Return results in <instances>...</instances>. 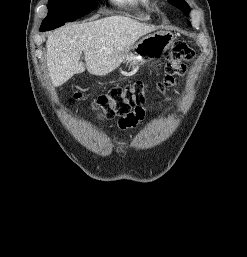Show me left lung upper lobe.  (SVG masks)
<instances>
[{
  "instance_id": "5c2ea615",
  "label": "left lung upper lobe",
  "mask_w": 247,
  "mask_h": 257,
  "mask_svg": "<svg viewBox=\"0 0 247 257\" xmlns=\"http://www.w3.org/2000/svg\"><path fill=\"white\" fill-rule=\"evenodd\" d=\"M169 1L170 3L178 7L180 10H182L186 15L189 14L190 7L184 0H169ZM188 24L191 26L190 22H188Z\"/></svg>"
}]
</instances>
